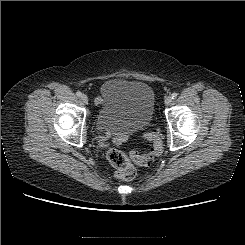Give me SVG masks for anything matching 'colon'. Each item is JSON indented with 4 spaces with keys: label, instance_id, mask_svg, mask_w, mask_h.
<instances>
[{
    "label": "colon",
    "instance_id": "1",
    "mask_svg": "<svg viewBox=\"0 0 245 245\" xmlns=\"http://www.w3.org/2000/svg\"><path fill=\"white\" fill-rule=\"evenodd\" d=\"M144 137L152 142V149L149 153H139L132 151L128 157L123 151L117 148H111L107 152V159L115 168V176L121 180H129L135 177L136 167L134 165H147L148 162L155 159L162 153V141L160 137L153 132H147Z\"/></svg>",
    "mask_w": 245,
    "mask_h": 245
}]
</instances>
